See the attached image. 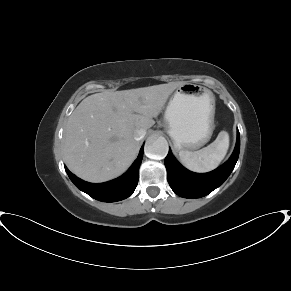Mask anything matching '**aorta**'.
Listing matches in <instances>:
<instances>
[{
  "instance_id": "1",
  "label": "aorta",
  "mask_w": 291,
  "mask_h": 291,
  "mask_svg": "<svg viewBox=\"0 0 291 291\" xmlns=\"http://www.w3.org/2000/svg\"><path fill=\"white\" fill-rule=\"evenodd\" d=\"M168 149V143L164 137H152L145 144V154L152 159L165 158Z\"/></svg>"
}]
</instances>
